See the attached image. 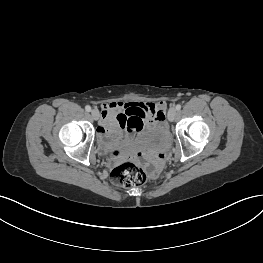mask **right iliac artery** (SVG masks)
<instances>
[{
    "label": "right iliac artery",
    "instance_id": "1",
    "mask_svg": "<svg viewBox=\"0 0 263 263\" xmlns=\"http://www.w3.org/2000/svg\"><path fill=\"white\" fill-rule=\"evenodd\" d=\"M85 110H86L87 112H90V111H91V107H90L89 105H87V106L85 107Z\"/></svg>",
    "mask_w": 263,
    "mask_h": 263
}]
</instances>
